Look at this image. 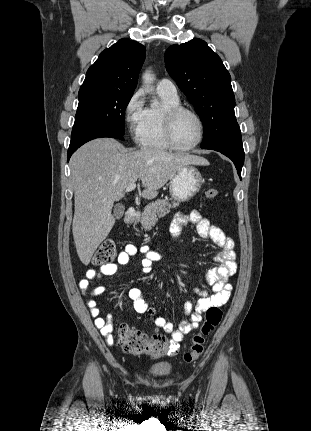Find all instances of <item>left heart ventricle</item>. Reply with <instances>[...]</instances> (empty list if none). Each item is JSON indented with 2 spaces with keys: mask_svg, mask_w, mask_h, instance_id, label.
Wrapping results in <instances>:
<instances>
[{
  "mask_svg": "<svg viewBox=\"0 0 311 431\" xmlns=\"http://www.w3.org/2000/svg\"><path fill=\"white\" fill-rule=\"evenodd\" d=\"M201 133L198 119L191 113H182L175 124V138L180 146H190L194 144Z\"/></svg>",
  "mask_w": 311,
  "mask_h": 431,
  "instance_id": "left-heart-ventricle-1",
  "label": "left heart ventricle"
}]
</instances>
